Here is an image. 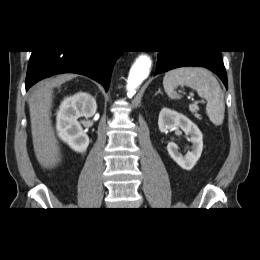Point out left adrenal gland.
<instances>
[{
    "label": "left adrenal gland",
    "mask_w": 260,
    "mask_h": 260,
    "mask_svg": "<svg viewBox=\"0 0 260 260\" xmlns=\"http://www.w3.org/2000/svg\"><path fill=\"white\" fill-rule=\"evenodd\" d=\"M162 94V92H161V90L159 89L156 93H155V95H157V94Z\"/></svg>",
    "instance_id": "a2214340"
}]
</instances>
